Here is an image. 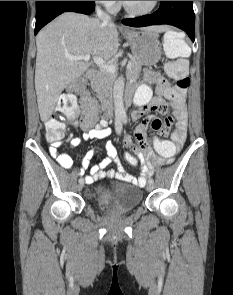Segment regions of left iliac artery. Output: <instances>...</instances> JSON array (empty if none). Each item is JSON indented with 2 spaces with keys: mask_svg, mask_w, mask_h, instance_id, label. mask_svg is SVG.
Segmentation results:
<instances>
[{
  "mask_svg": "<svg viewBox=\"0 0 233 295\" xmlns=\"http://www.w3.org/2000/svg\"><path fill=\"white\" fill-rule=\"evenodd\" d=\"M123 122L126 123L127 122V118H123ZM148 182L150 184H154V180L152 178H150Z\"/></svg>",
  "mask_w": 233,
  "mask_h": 295,
  "instance_id": "obj_1",
  "label": "left iliac artery"
}]
</instances>
